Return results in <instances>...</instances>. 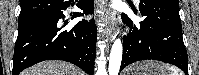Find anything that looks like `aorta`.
<instances>
[{
  "label": "aorta",
  "mask_w": 199,
  "mask_h": 75,
  "mask_svg": "<svg viewBox=\"0 0 199 75\" xmlns=\"http://www.w3.org/2000/svg\"><path fill=\"white\" fill-rule=\"evenodd\" d=\"M123 47L120 39H116L112 45L109 58V75H118L122 60Z\"/></svg>",
  "instance_id": "1"
}]
</instances>
